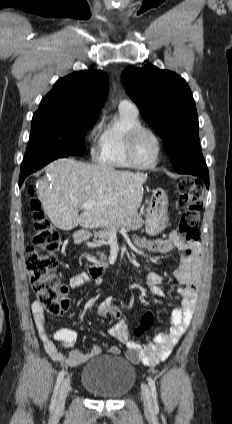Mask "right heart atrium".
<instances>
[{
    "label": "right heart atrium",
    "mask_w": 232,
    "mask_h": 424,
    "mask_svg": "<svg viewBox=\"0 0 232 424\" xmlns=\"http://www.w3.org/2000/svg\"><path fill=\"white\" fill-rule=\"evenodd\" d=\"M89 150L91 155H95L98 150V142L96 140L95 128L91 129L88 134Z\"/></svg>",
    "instance_id": "obj_1"
}]
</instances>
